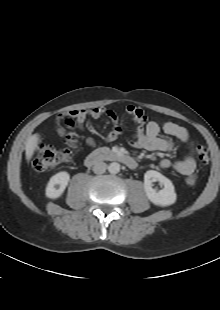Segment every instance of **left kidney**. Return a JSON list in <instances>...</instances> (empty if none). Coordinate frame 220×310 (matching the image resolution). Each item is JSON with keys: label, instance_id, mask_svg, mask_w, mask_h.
<instances>
[{"label": "left kidney", "instance_id": "left-kidney-1", "mask_svg": "<svg viewBox=\"0 0 220 310\" xmlns=\"http://www.w3.org/2000/svg\"><path fill=\"white\" fill-rule=\"evenodd\" d=\"M159 181L163 189H154L153 182ZM144 190L148 199L155 205L166 207L175 203L176 193L170 179L155 170H149L144 175Z\"/></svg>", "mask_w": 220, "mask_h": 310}]
</instances>
